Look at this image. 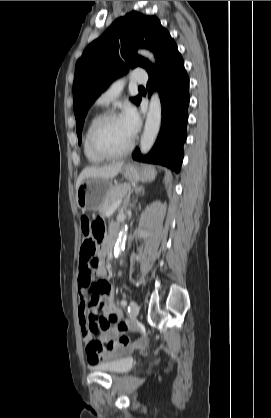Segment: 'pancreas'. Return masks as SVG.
<instances>
[{
  "label": "pancreas",
  "instance_id": "pancreas-1",
  "mask_svg": "<svg viewBox=\"0 0 271 418\" xmlns=\"http://www.w3.org/2000/svg\"><path fill=\"white\" fill-rule=\"evenodd\" d=\"M131 186L129 184H117L112 187L106 194L103 204L101 205L99 212L106 216L109 208L118 201L123 195H125Z\"/></svg>",
  "mask_w": 271,
  "mask_h": 418
}]
</instances>
